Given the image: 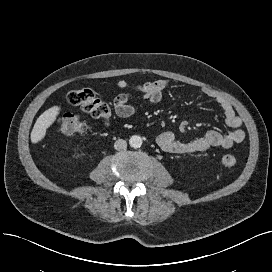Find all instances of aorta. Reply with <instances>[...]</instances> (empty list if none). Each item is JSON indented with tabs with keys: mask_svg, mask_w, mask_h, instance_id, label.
Wrapping results in <instances>:
<instances>
[{
	"mask_svg": "<svg viewBox=\"0 0 272 272\" xmlns=\"http://www.w3.org/2000/svg\"><path fill=\"white\" fill-rule=\"evenodd\" d=\"M142 138L139 135H133L129 139V144L133 148H140L142 145Z\"/></svg>",
	"mask_w": 272,
	"mask_h": 272,
	"instance_id": "obj_1",
	"label": "aorta"
}]
</instances>
